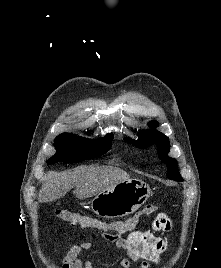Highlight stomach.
<instances>
[{
    "instance_id": "1",
    "label": "stomach",
    "mask_w": 221,
    "mask_h": 268,
    "mask_svg": "<svg viewBox=\"0 0 221 268\" xmlns=\"http://www.w3.org/2000/svg\"><path fill=\"white\" fill-rule=\"evenodd\" d=\"M150 196V187L141 180L130 179L97 194L92 211L103 218L124 217L138 210Z\"/></svg>"
}]
</instances>
